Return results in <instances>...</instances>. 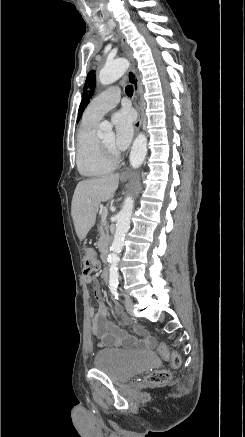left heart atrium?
<instances>
[{
    "label": "left heart atrium",
    "instance_id": "left-heart-atrium-1",
    "mask_svg": "<svg viewBox=\"0 0 245 437\" xmlns=\"http://www.w3.org/2000/svg\"><path fill=\"white\" fill-rule=\"evenodd\" d=\"M134 113L129 108L117 111L112 117L115 128L114 149L124 151L129 146L133 136Z\"/></svg>",
    "mask_w": 245,
    "mask_h": 437
}]
</instances>
